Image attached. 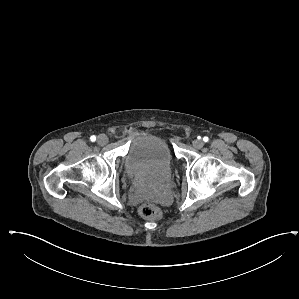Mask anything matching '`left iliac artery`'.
I'll use <instances>...</instances> for the list:
<instances>
[{"label": "left iliac artery", "instance_id": "44dca946", "mask_svg": "<svg viewBox=\"0 0 299 299\" xmlns=\"http://www.w3.org/2000/svg\"><path fill=\"white\" fill-rule=\"evenodd\" d=\"M208 140H209V138L206 137V136L203 138V141H204V142H208Z\"/></svg>", "mask_w": 299, "mask_h": 299}]
</instances>
